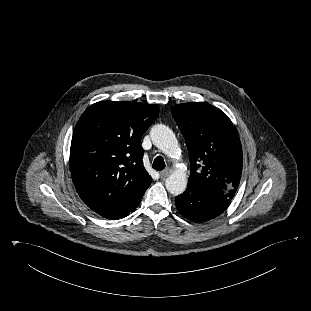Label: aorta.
Returning <instances> with one entry per match:
<instances>
[{
  "label": "aorta",
  "instance_id": "aorta-1",
  "mask_svg": "<svg viewBox=\"0 0 311 311\" xmlns=\"http://www.w3.org/2000/svg\"><path fill=\"white\" fill-rule=\"evenodd\" d=\"M150 137L153 144L168 156L178 151V141L173 131L164 124L151 128ZM166 189L173 195L182 194L187 187V175L184 170H174L166 179Z\"/></svg>",
  "mask_w": 311,
  "mask_h": 311
}]
</instances>
